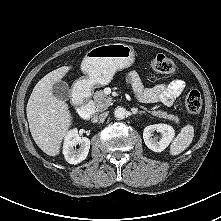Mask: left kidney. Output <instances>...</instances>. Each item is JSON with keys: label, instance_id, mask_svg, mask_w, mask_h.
<instances>
[{"label": "left kidney", "instance_id": "5707ae66", "mask_svg": "<svg viewBox=\"0 0 221 221\" xmlns=\"http://www.w3.org/2000/svg\"><path fill=\"white\" fill-rule=\"evenodd\" d=\"M160 133V137L154 136V132ZM175 136L174 129L167 124H155L145 127L143 139L146 146L154 152L163 151Z\"/></svg>", "mask_w": 221, "mask_h": 221}]
</instances>
